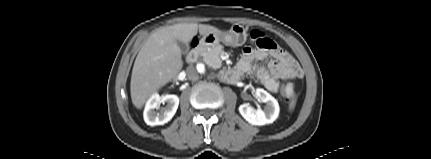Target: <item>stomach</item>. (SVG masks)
Wrapping results in <instances>:
<instances>
[{"label":"stomach","instance_id":"stomach-1","mask_svg":"<svg viewBox=\"0 0 431 159\" xmlns=\"http://www.w3.org/2000/svg\"><path fill=\"white\" fill-rule=\"evenodd\" d=\"M247 39L246 30L242 25L234 24L230 30L211 33L203 37V41L208 46L223 43L226 46L237 47L245 43Z\"/></svg>","mask_w":431,"mask_h":159}]
</instances>
